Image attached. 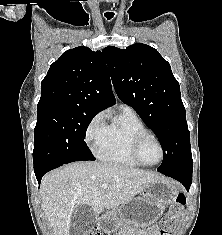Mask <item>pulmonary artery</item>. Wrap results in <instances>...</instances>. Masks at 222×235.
I'll use <instances>...</instances> for the list:
<instances>
[{
	"mask_svg": "<svg viewBox=\"0 0 222 235\" xmlns=\"http://www.w3.org/2000/svg\"><path fill=\"white\" fill-rule=\"evenodd\" d=\"M121 108H125V109H130V110H132L129 106H127V105H121Z\"/></svg>",
	"mask_w": 222,
	"mask_h": 235,
	"instance_id": "e3ab8cb5",
	"label": "pulmonary artery"
}]
</instances>
